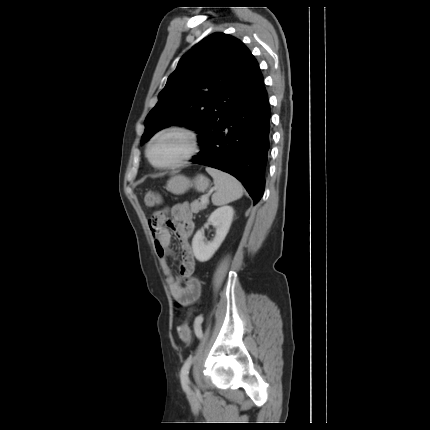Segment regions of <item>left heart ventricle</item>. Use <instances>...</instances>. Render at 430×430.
I'll return each mask as SVG.
<instances>
[{
    "label": "left heart ventricle",
    "mask_w": 430,
    "mask_h": 430,
    "mask_svg": "<svg viewBox=\"0 0 430 430\" xmlns=\"http://www.w3.org/2000/svg\"><path fill=\"white\" fill-rule=\"evenodd\" d=\"M188 146L189 141L184 134L170 132L156 140L151 149V156L158 164H169L183 156Z\"/></svg>",
    "instance_id": "left-heart-ventricle-1"
}]
</instances>
